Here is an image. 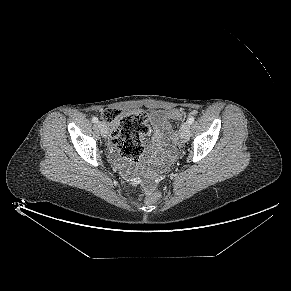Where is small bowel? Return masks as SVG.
Masks as SVG:
<instances>
[{"instance_id":"1","label":"small bowel","mask_w":291,"mask_h":291,"mask_svg":"<svg viewBox=\"0 0 291 291\" xmlns=\"http://www.w3.org/2000/svg\"><path fill=\"white\" fill-rule=\"evenodd\" d=\"M150 122L153 127L150 145L153 149L146 154L145 163L151 166L163 167L167 165L172 158V147L169 140L172 138V129L168 114L157 110L151 113ZM149 130L141 135L144 140Z\"/></svg>"}]
</instances>
